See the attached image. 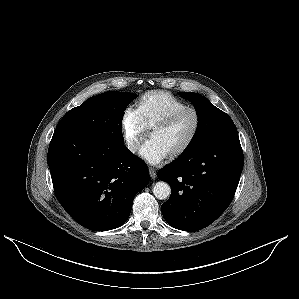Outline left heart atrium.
Segmentation results:
<instances>
[{
  "label": "left heart atrium",
  "instance_id": "left-heart-atrium-1",
  "mask_svg": "<svg viewBox=\"0 0 299 299\" xmlns=\"http://www.w3.org/2000/svg\"><path fill=\"white\" fill-rule=\"evenodd\" d=\"M140 156L150 164H157L166 159L169 153L156 139L150 138L141 147Z\"/></svg>",
  "mask_w": 299,
  "mask_h": 299
}]
</instances>
